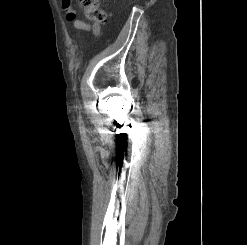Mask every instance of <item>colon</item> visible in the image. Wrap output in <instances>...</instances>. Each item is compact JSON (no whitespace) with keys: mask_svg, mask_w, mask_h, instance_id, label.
Instances as JSON below:
<instances>
[{"mask_svg":"<svg viewBox=\"0 0 247 245\" xmlns=\"http://www.w3.org/2000/svg\"><path fill=\"white\" fill-rule=\"evenodd\" d=\"M80 5L91 21L101 23L105 20L106 14L103 10L98 8V0H80Z\"/></svg>","mask_w":247,"mask_h":245,"instance_id":"5ec220e1","label":"colon"}]
</instances>
